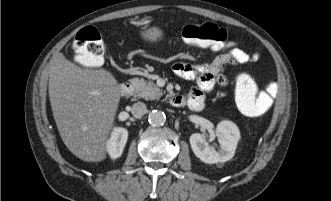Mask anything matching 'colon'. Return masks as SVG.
Masks as SVG:
<instances>
[{
	"mask_svg": "<svg viewBox=\"0 0 331 201\" xmlns=\"http://www.w3.org/2000/svg\"><path fill=\"white\" fill-rule=\"evenodd\" d=\"M187 44L209 48L214 51L223 49L228 40L227 31L213 23L187 25L179 33ZM78 63L85 67H99L104 62V43L98 30L85 27L79 31L74 41ZM238 108L248 116H260L272 106L277 95V86L272 83L261 90L255 80L246 74L238 76L234 87Z\"/></svg>",
	"mask_w": 331,
	"mask_h": 201,
	"instance_id": "1",
	"label": "colon"
}]
</instances>
